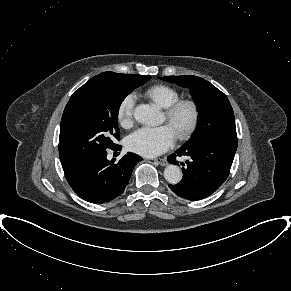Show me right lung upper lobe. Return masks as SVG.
Segmentation results:
<instances>
[{
    "mask_svg": "<svg viewBox=\"0 0 291 291\" xmlns=\"http://www.w3.org/2000/svg\"><path fill=\"white\" fill-rule=\"evenodd\" d=\"M138 76L137 74H119V73H114V72H103L97 76L96 78H115V79H122V80H134Z\"/></svg>",
    "mask_w": 291,
    "mask_h": 291,
    "instance_id": "right-lung-upper-lobe-1",
    "label": "right lung upper lobe"
}]
</instances>
